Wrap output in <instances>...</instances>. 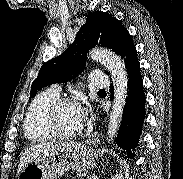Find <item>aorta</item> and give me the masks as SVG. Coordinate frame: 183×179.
Wrapping results in <instances>:
<instances>
[{
  "mask_svg": "<svg viewBox=\"0 0 183 179\" xmlns=\"http://www.w3.org/2000/svg\"><path fill=\"white\" fill-rule=\"evenodd\" d=\"M90 57L99 61L114 78V98L107 130V140L110 142L116 137L122 121L128 88L127 71L121 58L110 50L92 49Z\"/></svg>",
  "mask_w": 183,
  "mask_h": 179,
  "instance_id": "762f6f07",
  "label": "aorta"
}]
</instances>
